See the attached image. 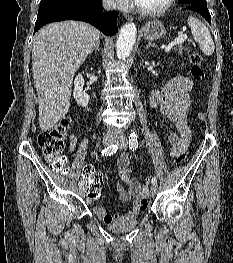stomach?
Returning a JSON list of instances; mask_svg holds the SVG:
<instances>
[{
  "label": "stomach",
  "instance_id": "stomach-1",
  "mask_svg": "<svg viewBox=\"0 0 233 263\" xmlns=\"http://www.w3.org/2000/svg\"><path fill=\"white\" fill-rule=\"evenodd\" d=\"M143 33L147 40H157L162 38L166 31L161 21L154 20L144 26Z\"/></svg>",
  "mask_w": 233,
  "mask_h": 263
}]
</instances>
